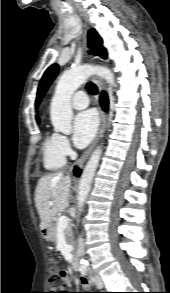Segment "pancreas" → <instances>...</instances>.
Returning <instances> with one entry per match:
<instances>
[{
  "label": "pancreas",
  "mask_w": 170,
  "mask_h": 293,
  "mask_svg": "<svg viewBox=\"0 0 170 293\" xmlns=\"http://www.w3.org/2000/svg\"><path fill=\"white\" fill-rule=\"evenodd\" d=\"M57 223H58V218H56L54 220V223L51 225L50 230H51V240L53 242H56L57 240ZM64 235L66 238V241L68 243H73V231H72V225H68L65 229H64Z\"/></svg>",
  "instance_id": "pancreas-1"
}]
</instances>
